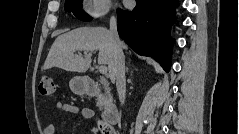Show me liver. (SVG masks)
<instances>
[{
	"mask_svg": "<svg viewBox=\"0 0 239 134\" xmlns=\"http://www.w3.org/2000/svg\"><path fill=\"white\" fill-rule=\"evenodd\" d=\"M121 49L127 45L120 42ZM98 50V63L108 65L110 79L115 78L110 73L113 61L114 45L110 31L103 27H82L58 36L52 44L43 69L58 67L66 71L84 73L91 65V56ZM78 51V54H75ZM81 52H84L82 56Z\"/></svg>",
	"mask_w": 239,
	"mask_h": 134,
	"instance_id": "liver-1",
	"label": "liver"
}]
</instances>
